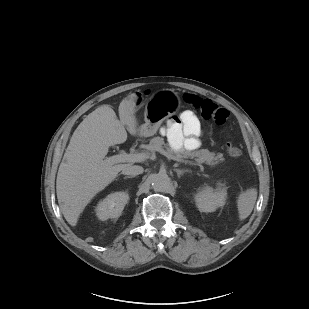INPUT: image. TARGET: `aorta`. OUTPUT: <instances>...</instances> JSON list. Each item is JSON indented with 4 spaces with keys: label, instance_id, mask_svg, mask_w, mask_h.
<instances>
[{
    "label": "aorta",
    "instance_id": "aorta-1",
    "mask_svg": "<svg viewBox=\"0 0 309 309\" xmlns=\"http://www.w3.org/2000/svg\"><path fill=\"white\" fill-rule=\"evenodd\" d=\"M151 182L153 189L157 192H164L170 186V178L163 173L154 174Z\"/></svg>",
    "mask_w": 309,
    "mask_h": 309
}]
</instances>
